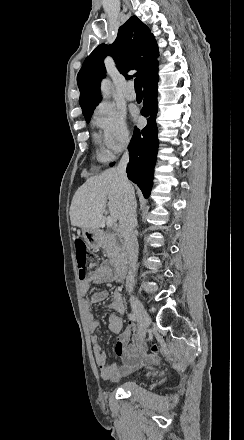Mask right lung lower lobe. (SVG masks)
I'll return each instance as SVG.
<instances>
[{"mask_svg":"<svg viewBox=\"0 0 244 440\" xmlns=\"http://www.w3.org/2000/svg\"><path fill=\"white\" fill-rule=\"evenodd\" d=\"M157 68L143 80L144 101L142 115L147 117V126L135 128L129 145L130 161L127 167L128 178L142 190L145 198L150 195L156 161L158 138L155 117L157 113Z\"/></svg>","mask_w":244,"mask_h":440,"instance_id":"obj_1","label":"right lung lower lobe"}]
</instances>
